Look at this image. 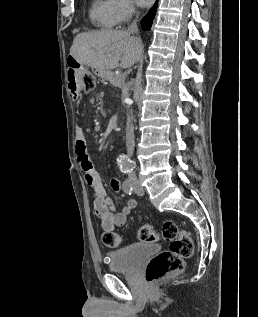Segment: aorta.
Instances as JSON below:
<instances>
[{
  "instance_id": "762f6f07",
  "label": "aorta",
  "mask_w": 258,
  "mask_h": 317,
  "mask_svg": "<svg viewBox=\"0 0 258 317\" xmlns=\"http://www.w3.org/2000/svg\"><path fill=\"white\" fill-rule=\"evenodd\" d=\"M118 164L124 173L131 171L133 168V162H131L127 157H120Z\"/></svg>"
}]
</instances>
